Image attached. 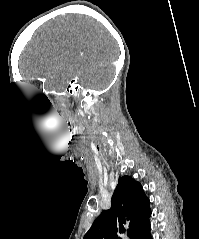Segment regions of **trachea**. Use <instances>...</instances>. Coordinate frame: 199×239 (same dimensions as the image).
Returning a JSON list of instances; mask_svg holds the SVG:
<instances>
[{
  "label": "trachea",
  "mask_w": 199,
  "mask_h": 239,
  "mask_svg": "<svg viewBox=\"0 0 199 239\" xmlns=\"http://www.w3.org/2000/svg\"><path fill=\"white\" fill-rule=\"evenodd\" d=\"M127 235L130 237L131 236V232H127Z\"/></svg>",
  "instance_id": "obj_1"
}]
</instances>
